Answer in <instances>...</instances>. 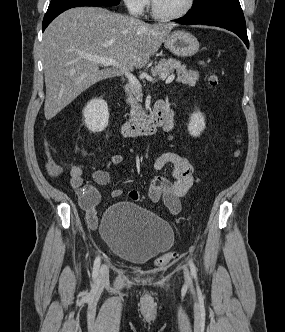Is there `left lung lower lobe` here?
<instances>
[{
    "mask_svg": "<svg viewBox=\"0 0 285 332\" xmlns=\"http://www.w3.org/2000/svg\"><path fill=\"white\" fill-rule=\"evenodd\" d=\"M181 24H203L225 28L237 34L249 48L245 18L241 7L223 8L200 14H188L178 20Z\"/></svg>",
    "mask_w": 285,
    "mask_h": 332,
    "instance_id": "left-lung-lower-lobe-1",
    "label": "left lung lower lobe"
}]
</instances>
